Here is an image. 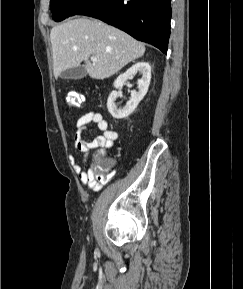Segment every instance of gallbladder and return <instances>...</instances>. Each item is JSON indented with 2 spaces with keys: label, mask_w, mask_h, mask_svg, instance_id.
Segmentation results:
<instances>
[{
  "label": "gallbladder",
  "mask_w": 243,
  "mask_h": 289,
  "mask_svg": "<svg viewBox=\"0 0 243 289\" xmlns=\"http://www.w3.org/2000/svg\"><path fill=\"white\" fill-rule=\"evenodd\" d=\"M87 75L86 69L84 66L73 67L66 69L60 74L61 79H73L79 80L84 78Z\"/></svg>",
  "instance_id": "gallbladder-1"
}]
</instances>
